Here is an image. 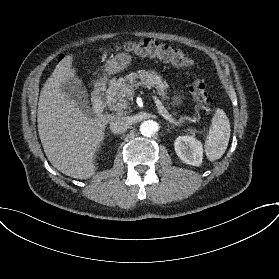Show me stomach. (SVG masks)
Listing matches in <instances>:
<instances>
[{"label": "stomach", "instance_id": "1", "mask_svg": "<svg viewBox=\"0 0 279 279\" xmlns=\"http://www.w3.org/2000/svg\"><path fill=\"white\" fill-rule=\"evenodd\" d=\"M133 63V55L128 51H120L101 66L102 79L109 81L110 77L122 73ZM171 105L174 109L184 108L187 104L186 95L179 89L172 91Z\"/></svg>", "mask_w": 279, "mask_h": 279}]
</instances>
